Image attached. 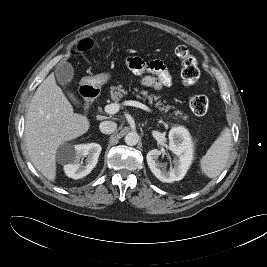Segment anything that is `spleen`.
<instances>
[{"instance_id": "obj_1", "label": "spleen", "mask_w": 267, "mask_h": 267, "mask_svg": "<svg viewBox=\"0 0 267 267\" xmlns=\"http://www.w3.org/2000/svg\"><path fill=\"white\" fill-rule=\"evenodd\" d=\"M231 150V133L225 127L206 154L200 159L202 173L209 177H217L225 168Z\"/></svg>"}]
</instances>
